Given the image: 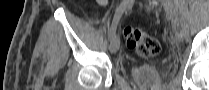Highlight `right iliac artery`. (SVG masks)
<instances>
[{"instance_id": "82829eb1", "label": "right iliac artery", "mask_w": 209, "mask_h": 90, "mask_svg": "<svg viewBox=\"0 0 209 90\" xmlns=\"http://www.w3.org/2000/svg\"><path fill=\"white\" fill-rule=\"evenodd\" d=\"M132 4V0H124L121 5L117 8L110 31L109 38L112 39L115 36L117 25L122 14L126 11V9Z\"/></svg>"}]
</instances>
